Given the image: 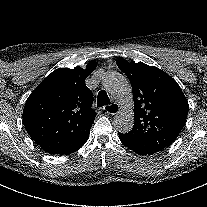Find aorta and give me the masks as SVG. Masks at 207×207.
Listing matches in <instances>:
<instances>
[{
  "instance_id": "762f6f07",
  "label": "aorta",
  "mask_w": 207,
  "mask_h": 207,
  "mask_svg": "<svg viewBox=\"0 0 207 207\" xmlns=\"http://www.w3.org/2000/svg\"><path fill=\"white\" fill-rule=\"evenodd\" d=\"M102 84L122 107L114 118V127L121 133H128L134 125L133 96L128 80L118 72L108 71L102 77Z\"/></svg>"
}]
</instances>
